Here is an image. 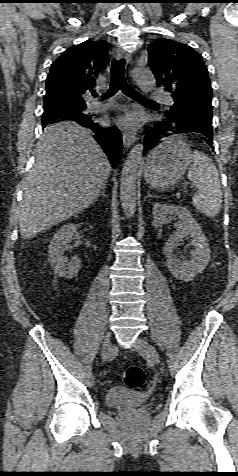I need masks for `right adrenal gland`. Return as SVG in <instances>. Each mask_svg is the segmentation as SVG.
<instances>
[{
    "mask_svg": "<svg viewBox=\"0 0 238 476\" xmlns=\"http://www.w3.org/2000/svg\"><path fill=\"white\" fill-rule=\"evenodd\" d=\"M100 196H103L104 198H106V195H105V187L102 188L100 194L97 195V197L95 198V200L93 201V203H95L98 199V197Z\"/></svg>",
    "mask_w": 238,
    "mask_h": 476,
    "instance_id": "obj_1",
    "label": "right adrenal gland"
}]
</instances>
